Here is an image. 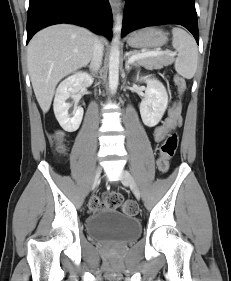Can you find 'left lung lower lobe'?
Listing matches in <instances>:
<instances>
[{
    "label": "left lung lower lobe",
    "mask_w": 231,
    "mask_h": 281,
    "mask_svg": "<svg viewBox=\"0 0 231 281\" xmlns=\"http://www.w3.org/2000/svg\"><path fill=\"white\" fill-rule=\"evenodd\" d=\"M160 24L184 26L199 44L195 0H126L122 35Z\"/></svg>",
    "instance_id": "left-lung-lower-lobe-1"
}]
</instances>
